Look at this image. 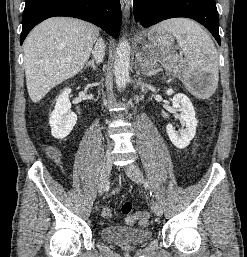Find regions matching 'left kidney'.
Segmentation results:
<instances>
[{
    "label": "left kidney",
    "mask_w": 247,
    "mask_h": 257,
    "mask_svg": "<svg viewBox=\"0 0 247 257\" xmlns=\"http://www.w3.org/2000/svg\"><path fill=\"white\" fill-rule=\"evenodd\" d=\"M173 93V89H168L166 91L167 95H172ZM172 105L174 108L179 109L180 118L185 124V129H183L179 135L171 124H167L166 133L171 142L177 148L184 149L194 138L198 121L195 118V110L193 104L185 94L179 93L174 95L172 99Z\"/></svg>",
    "instance_id": "obj_1"
}]
</instances>
